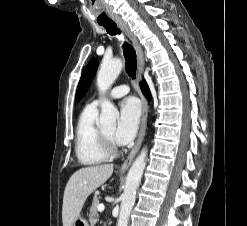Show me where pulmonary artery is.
<instances>
[{
  "instance_id": "obj_1",
  "label": "pulmonary artery",
  "mask_w": 247,
  "mask_h": 226,
  "mask_svg": "<svg viewBox=\"0 0 247 226\" xmlns=\"http://www.w3.org/2000/svg\"><path fill=\"white\" fill-rule=\"evenodd\" d=\"M129 87L126 84L113 87L109 92V97L116 99L125 96L129 92ZM99 99H95L90 105L97 107L99 105Z\"/></svg>"
}]
</instances>
